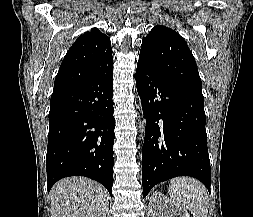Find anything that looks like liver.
Segmentation results:
<instances>
[{"label":"liver","mask_w":253,"mask_h":217,"mask_svg":"<svg viewBox=\"0 0 253 217\" xmlns=\"http://www.w3.org/2000/svg\"><path fill=\"white\" fill-rule=\"evenodd\" d=\"M49 195L53 217H106L108 212L106 189L85 177L64 178Z\"/></svg>","instance_id":"obj_1"}]
</instances>
